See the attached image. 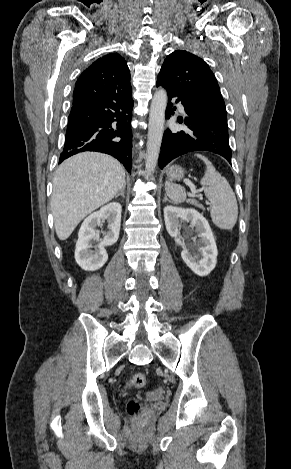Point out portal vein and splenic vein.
Returning a JSON list of instances; mask_svg holds the SVG:
<instances>
[{
	"instance_id": "portal-vein-and-splenic-vein-1",
	"label": "portal vein and splenic vein",
	"mask_w": 291,
	"mask_h": 469,
	"mask_svg": "<svg viewBox=\"0 0 291 469\" xmlns=\"http://www.w3.org/2000/svg\"><path fill=\"white\" fill-rule=\"evenodd\" d=\"M185 183H186L188 186H190L192 195L196 194L197 191H196L195 187L193 186V184H191V182H190L189 180H185Z\"/></svg>"
}]
</instances>
